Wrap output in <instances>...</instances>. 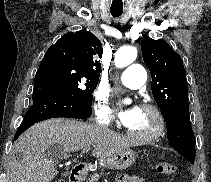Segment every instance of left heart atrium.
<instances>
[{"label": "left heart atrium", "mask_w": 211, "mask_h": 182, "mask_svg": "<svg viewBox=\"0 0 211 182\" xmlns=\"http://www.w3.org/2000/svg\"><path fill=\"white\" fill-rule=\"evenodd\" d=\"M140 108L138 106H132L128 109L122 110L119 113L120 119L124 125L129 126L132 124L139 114Z\"/></svg>", "instance_id": "39dd6f15"}]
</instances>
